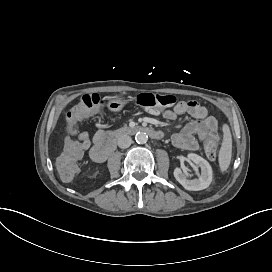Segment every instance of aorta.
<instances>
[{"mask_svg": "<svg viewBox=\"0 0 272 272\" xmlns=\"http://www.w3.org/2000/svg\"><path fill=\"white\" fill-rule=\"evenodd\" d=\"M135 140L139 144H145L148 141V135L145 132H137Z\"/></svg>", "mask_w": 272, "mask_h": 272, "instance_id": "1", "label": "aorta"}]
</instances>
